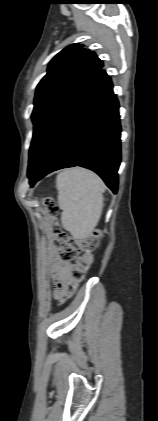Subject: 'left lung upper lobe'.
<instances>
[{"mask_svg":"<svg viewBox=\"0 0 158 421\" xmlns=\"http://www.w3.org/2000/svg\"><path fill=\"white\" fill-rule=\"evenodd\" d=\"M102 67L103 62L95 53L78 43L65 47L50 61L47 73L38 84L35 93L30 159L55 116Z\"/></svg>","mask_w":158,"mask_h":421,"instance_id":"5c2ea615","label":"left lung upper lobe"}]
</instances>
